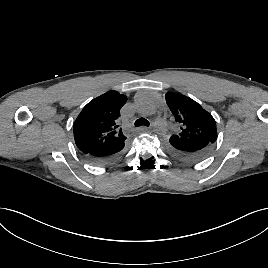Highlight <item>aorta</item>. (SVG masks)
<instances>
[{
	"mask_svg": "<svg viewBox=\"0 0 268 268\" xmlns=\"http://www.w3.org/2000/svg\"><path fill=\"white\" fill-rule=\"evenodd\" d=\"M136 107L139 113L156 118L157 103L156 100L150 94H142L136 100ZM152 132L154 136L161 138L165 136L167 129L163 119L156 118V125H154Z\"/></svg>",
	"mask_w": 268,
	"mask_h": 268,
	"instance_id": "1",
	"label": "aorta"
}]
</instances>
